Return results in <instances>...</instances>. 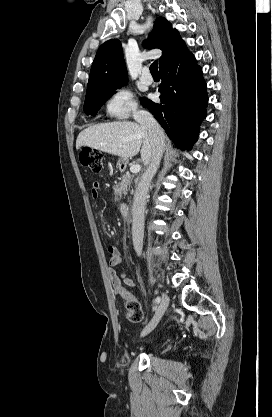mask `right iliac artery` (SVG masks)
<instances>
[{"label": "right iliac artery", "mask_w": 272, "mask_h": 417, "mask_svg": "<svg viewBox=\"0 0 272 417\" xmlns=\"http://www.w3.org/2000/svg\"><path fill=\"white\" fill-rule=\"evenodd\" d=\"M160 300H161V299H160V297H157V298L155 299V303H156V304H158V303L160 302Z\"/></svg>", "instance_id": "right-iliac-artery-1"}]
</instances>
